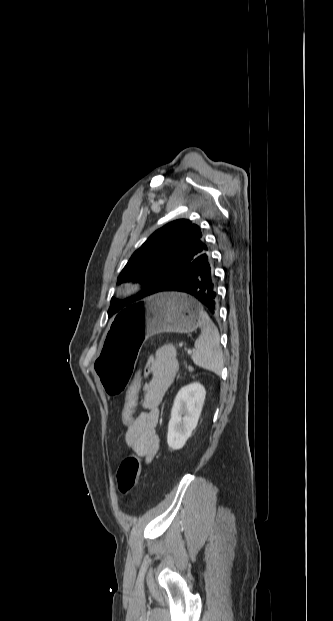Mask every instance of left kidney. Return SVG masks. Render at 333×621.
<instances>
[{
  "mask_svg": "<svg viewBox=\"0 0 333 621\" xmlns=\"http://www.w3.org/2000/svg\"><path fill=\"white\" fill-rule=\"evenodd\" d=\"M205 396L206 390L200 383L184 386L177 393L167 434V444L173 450L181 449L196 428Z\"/></svg>",
  "mask_w": 333,
  "mask_h": 621,
  "instance_id": "left-kidney-1",
  "label": "left kidney"
}]
</instances>
